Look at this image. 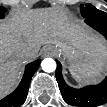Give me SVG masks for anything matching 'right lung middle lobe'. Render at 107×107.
Listing matches in <instances>:
<instances>
[{
  "label": "right lung middle lobe",
  "instance_id": "1",
  "mask_svg": "<svg viewBox=\"0 0 107 107\" xmlns=\"http://www.w3.org/2000/svg\"><path fill=\"white\" fill-rule=\"evenodd\" d=\"M5 11H6L5 8L0 7V18H4Z\"/></svg>",
  "mask_w": 107,
  "mask_h": 107
}]
</instances>
